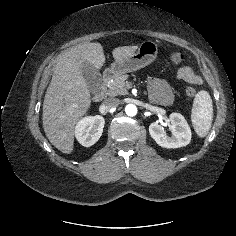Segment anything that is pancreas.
I'll use <instances>...</instances> for the list:
<instances>
[{"instance_id":"obj_1","label":"pancreas","mask_w":236,"mask_h":236,"mask_svg":"<svg viewBox=\"0 0 236 236\" xmlns=\"http://www.w3.org/2000/svg\"><path fill=\"white\" fill-rule=\"evenodd\" d=\"M128 75H119L109 84L107 94L109 96L125 95L130 87L127 81Z\"/></svg>"}]
</instances>
